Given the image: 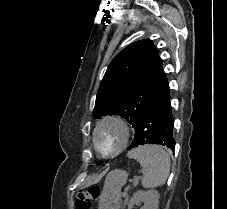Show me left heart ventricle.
<instances>
[{
  "label": "left heart ventricle",
  "mask_w": 227,
  "mask_h": 209,
  "mask_svg": "<svg viewBox=\"0 0 227 209\" xmlns=\"http://www.w3.org/2000/svg\"><path fill=\"white\" fill-rule=\"evenodd\" d=\"M122 128L114 122L102 124L96 133V144L102 153H108L117 149L123 140Z\"/></svg>",
  "instance_id": "b2bd125f"
}]
</instances>
